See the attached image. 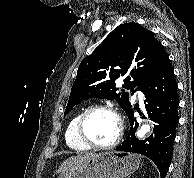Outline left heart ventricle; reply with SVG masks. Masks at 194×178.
<instances>
[{
  "instance_id": "left-heart-ventricle-1",
  "label": "left heart ventricle",
  "mask_w": 194,
  "mask_h": 178,
  "mask_svg": "<svg viewBox=\"0 0 194 178\" xmlns=\"http://www.w3.org/2000/svg\"><path fill=\"white\" fill-rule=\"evenodd\" d=\"M84 131L87 137L97 144H108L117 135L118 122L107 111H95L85 121Z\"/></svg>"
}]
</instances>
